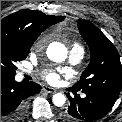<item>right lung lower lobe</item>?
<instances>
[{
	"label": "right lung lower lobe",
	"instance_id": "right-lung-lower-lobe-1",
	"mask_svg": "<svg viewBox=\"0 0 122 122\" xmlns=\"http://www.w3.org/2000/svg\"><path fill=\"white\" fill-rule=\"evenodd\" d=\"M14 77L1 73V122H22L27 98L41 90L35 82L21 84Z\"/></svg>",
	"mask_w": 122,
	"mask_h": 122
}]
</instances>
